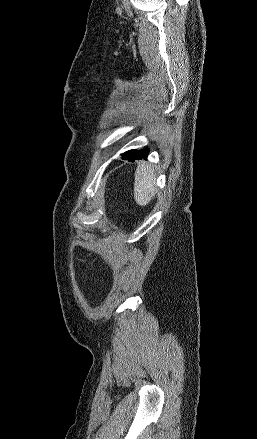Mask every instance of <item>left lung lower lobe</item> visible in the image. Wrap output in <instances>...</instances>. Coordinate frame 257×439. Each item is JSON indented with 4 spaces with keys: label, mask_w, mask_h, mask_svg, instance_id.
<instances>
[{
    "label": "left lung lower lobe",
    "mask_w": 257,
    "mask_h": 439,
    "mask_svg": "<svg viewBox=\"0 0 257 439\" xmlns=\"http://www.w3.org/2000/svg\"><path fill=\"white\" fill-rule=\"evenodd\" d=\"M149 153V149H142V150H133L129 155L123 156V160H128L129 162H134L135 160H139L142 158L147 157Z\"/></svg>",
    "instance_id": "1"
}]
</instances>
